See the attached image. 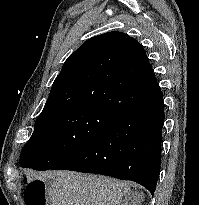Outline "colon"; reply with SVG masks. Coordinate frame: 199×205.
Returning a JSON list of instances; mask_svg holds the SVG:
<instances>
[{
    "instance_id": "5ec220e1",
    "label": "colon",
    "mask_w": 199,
    "mask_h": 205,
    "mask_svg": "<svg viewBox=\"0 0 199 205\" xmlns=\"http://www.w3.org/2000/svg\"><path fill=\"white\" fill-rule=\"evenodd\" d=\"M27 205H46L45 195L35 183H29L25 191Z\"/></svg>"
}]
</instances>
